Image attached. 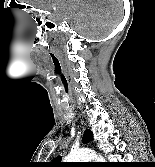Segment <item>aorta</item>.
<instances>
[{
  "label": "aorta",
  "instance_id": "762f6f07",
  "mask_svg": "<svg viewBox=\"0 0 155 167\" xmlns=\"http://www.w3.org/2000/svg\"><path fill=\"white\" fill-rule=\"evenodd\" d=\"M64 160L65 162H88L90 160L102 161L103 158L90 149H80L71 151Z\"/></svg>",
  "mask_w": 155,
  "mask_h": 167
}]
</instances>
